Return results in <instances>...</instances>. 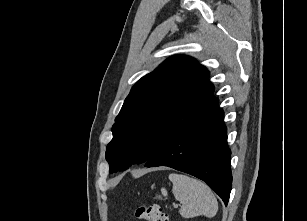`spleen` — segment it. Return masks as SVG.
Masks as SVG:
<instances>
[{"label":"spleen","mask_w":307,"mask_h":221,"mask_svg":"<svg viewBox=\"0 0 307 221\" xmlns=\"http://www.w3.org/2000/svg\"><path fill=\"white\" fill-rule=\"evenodd\" d=\"M169 180L173 184L175 199L183 203L180 214L184 218L206 216L212 218L218 211V202L211 189L200 180L183 174L172 173ZM162 195L167 196L166 189H161ZM160 198V197H159Z\"/></svg>","instance_id":"obj_1"}]
</instances>
